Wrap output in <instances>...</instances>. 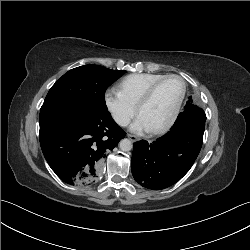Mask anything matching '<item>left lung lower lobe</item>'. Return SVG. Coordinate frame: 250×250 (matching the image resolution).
I'll list each match as a JSON object with an SVG mask.
<instances>
[{"label":"left lung lower lobe","instance_id":"0a47b994","mask_svg":"<svg viewBox=\"0 0 250 250\" xmlns=\"http://www.w3.org/2000/svg\"><path fill=\"white\" fill-rule=\"evenodd\" d=\"M191 99V97L189 98ZM188 100L170 131L152 143L133 144L132 175L141 186L159 190L179 181L195 162L203 141L206 115Z\"/></svg>","mask_w":250,"mask_h":250}]
</instances>
